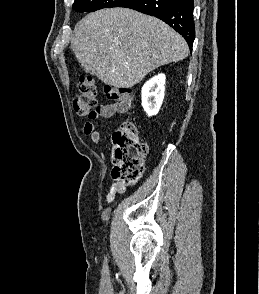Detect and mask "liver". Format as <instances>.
<instances>
[{"mask_svg":"<svg viewBox=\"0 0 259 294\" xmlns=\"http://www.w3.org/2000/svg\"><path fill=\"white\" fill-rule=\"evenodd\" d=\"M71 49L86 73L116 88L133 87L150 71L181 61L189 52L184 38L163 21L120 7L80 20Z\"/></svg>","mask_w":259,"mask_h":294,"instance_id":"liver-1","label":"liver"}]
</instances>
